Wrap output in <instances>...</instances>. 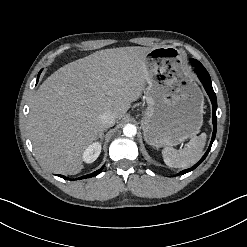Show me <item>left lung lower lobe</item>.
Returning <instances> with one entry per match:
<instances>
[{
    "mask_svg": "<svg viewBox=\"0 0 247 247\" xmlns=\"http://www.w3.org/2000/svg\"><path fill=\"white\" fill-rule=\"evenodd\" d=\"M192 65L195 67V72L198 74V78L202 82V84H203V86H204L206 92L208 93L210 100L212 102V106H213L212 121H213L214 129H213V134H212L210 146H209L208 150L206 151V153L204 154V156L201 158V160L198 163H196L193 167L181 171L180 173H178V175H183L185 173H188V172L194 170L197 166H199L203 162V160L206 158V156L208 155V153L211 149L213 141L215 140L216 129H217V118H216L217 100H216L215 92H214L213 87H212L210 76L201 63H192Z\"/></svg>",
    "mask_w": 247,
    "mask_h": 247,
    "instance_id": "obj_1",
    "label": "left lung lower lobe"
}]
</instances>
